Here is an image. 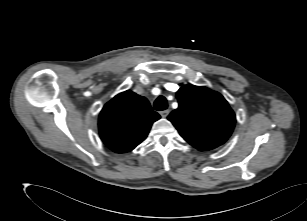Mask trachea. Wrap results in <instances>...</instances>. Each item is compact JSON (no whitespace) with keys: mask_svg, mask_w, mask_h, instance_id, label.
<instances>
[{"mask_svg":"<svg viewBox=\"0 0 307 221\" xmlns=\"http://www.w3.org/2000/svg\"><path fill=\"white\" fill-rule=\"evenodd\" d=\"M167 100L164 96H159L154 102V109L157 111H163L167 109Z\"/></svg>","mask_w":307,"mask_h":221,"instance_id":"3493384b","label":"trachea"}]
</instances>
